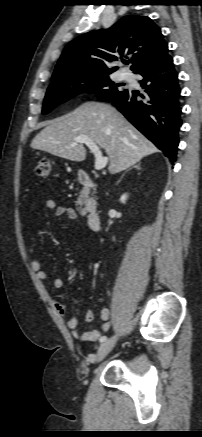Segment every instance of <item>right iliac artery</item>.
Returning a JSON list of instances; mask_svg holds the SVG:
<instances>
[{
	"label": "right iliac artery",
	"instance_id": "obj_1",
	"mask_svg": "<svg viewBox=\"0 0 202 437\" xmlns=\"http://www.w3.org/2000/svg\"><path fill=\"white\" fill-rule=\"evenodd\" d=\"M106 340H107V337H106V336H102V337H100V339H99L100 342H104V341H106Z\"/></svg>",
	"mask_w": 202,
	"mask_h": 437
}]
</instances>
